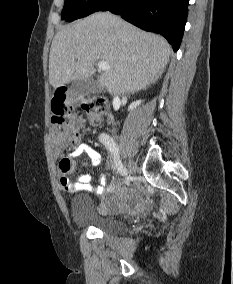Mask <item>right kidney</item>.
<instances>
[{
    "instance_id": "right-kidney-1",
    "label": "right kidney",
    "mask_w": 233,
    "mask_h": 284,
    "mask_svg": "<svg viewBox=\"0 0 233 284\" xmlns=\"http://www.w3.org/2000/svg\"><path fill=\"white\" fill-rule=\"evenodd\" d=\"M140 103H141V100H138V101L133 102V103L129 106L128 110H129V111H130V110L132 111L134 108H136L137 106H139Z\"/></svg>"
}]
</instances>
